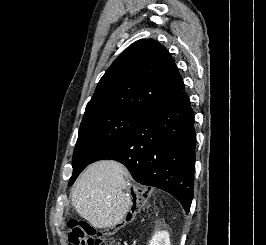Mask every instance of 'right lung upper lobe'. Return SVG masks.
I'll use <instances>...</instances> for the list:
<instances>
[{
	"mask_svg": "<svg viewBox=\"0 0 266 245\" xmlns=\"http://www.w3.org/2000/svg\"><path fill=\"white\" fill-rule=\"evenodd\" d=\"M185 86L168 50L152 39L133 43L99 81L84 117L118 110L145 115L178 97Z\"/></svg>",
	"mask_w": 266,
	"mask_h": 245,
	"instance_id": "1",
	"label": "right lung upper lobe"
}]
</instances>
